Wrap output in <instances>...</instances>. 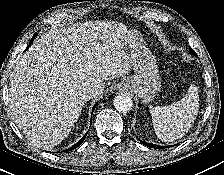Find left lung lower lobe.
Returning a JSON list of instances; mask_svg holds the SVG:
<instances>
[{
    "instance_id": "left-lung-lower-lobe-1",
    "label": "left lung lower lobe",
    "mask_w": 224,
    "mask_h": 175,
    "mask_svg": "<svg viewBox=\"0 0 224 175\" xmlns=\"http://www.w3.org/2000/svg\"><path fill=\"white\" fill-rule=\"evenodd\" d=\"M143 145L147 146V147H150V148H157V149H162V148H167V147H171V146H159V145H155V144H152V143H147V142H144V141H140Z\"/></svg>"
}]
</instances>
